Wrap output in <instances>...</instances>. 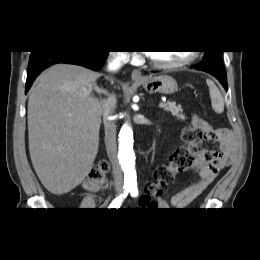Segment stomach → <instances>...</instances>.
Here are the masks:
<instances>
[{
  "mask_svg": "<svg viewBox=\"0 0 260 260\" xmlns=\"http://www.w3.org/2000/svg\"><path fill=\"white\" fill-rule=\"evenodd\" d=\"M139 83L151 94L161 93L170 95L178 90L176 80L169 75L150 76L145 80L139 81Z\"/></svg>",
  "mask_w": 260,
  "mask_h": 260,
  "instance_id": "obj_1",
  "label": "stomach"
}]
</instances>
